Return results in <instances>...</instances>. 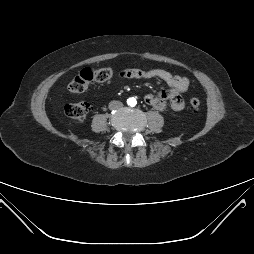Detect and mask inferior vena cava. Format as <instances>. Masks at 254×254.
Masks as SVG:
<instances>
[{
	"label": "inferior vena cava",
	"mask_w": 254,
	"mask_h": 254,
	"mask_svg": "<svg viewBox=\"0 0 254 254\" xmlns=\"http://www.w3.org/2000/svg\"><path fill=\"white\" fill-rule=\"evenodd\" d=\"M122 107H123V103L120 101L114 100L109 103V109L111 110L120 109Z\"/></svg>",
	"instance_id": "inferior-vena-cava-1"
}]
</instances>
